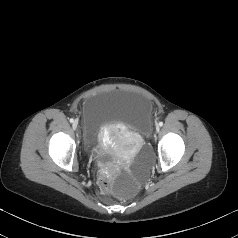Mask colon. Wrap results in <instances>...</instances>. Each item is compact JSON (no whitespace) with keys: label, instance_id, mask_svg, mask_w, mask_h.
Wrapping results in <instances>:
<instances>
[{"label":"colon","instance_id":"colon-1","mask_svg":"<svg viewBox=\"0 0 238 238\" xmlns=\"http://www.w3.org/2000/svg\"><path fill=\"white\" fill-rule=\"evenodd\" d=\"M112 182V179L107 176H104L100 179V185L104 190H109L112 186Z\"/></svg>","mask_w":238,"mask_h":238}]
</instances>
